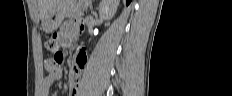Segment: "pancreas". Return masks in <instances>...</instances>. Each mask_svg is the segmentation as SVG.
<instances>
[{
  "label": "pancreas",
  "instance_id": "obj_1",
  "mask_svg": "<svg viewBox=\"0 0 232 96\" xmlns=\"http://www.w3.org/2000/svg\"><path fill=\"white\" fill-rule=\"evenodd\" d=\"M86 10V7L83 5V3H79L78 5H74L71 7L70 10H68L65 14L67 18L70 17H77L83 14V11Z\"/></svg>",
  "mask_w": 232,
  "mask_h": 96
}]
</instances>
